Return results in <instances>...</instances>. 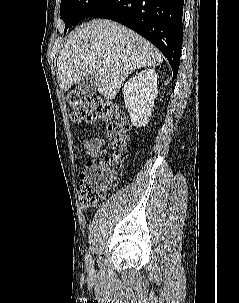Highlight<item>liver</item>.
Segmentation results:
<instances>
[{
    "mask_svg": "<svg viewBox=\"0 0 239 303\" xmlns=\"http://www.w3.org/2000/svg\"><path fill=\"white\" fill-rule=\"evenodd\" d=\"M162 60L158 49L131 29L110 20H93L68 35L57 60L58 79L66 92L93 76L96 89L111 100L134 70L158 66Z\"/></svg>",
    "mask_w": 239,
    "mask_h": 303,
    "instance_id": "6515ba94",
    "label": "liver"
}]
</instances>
